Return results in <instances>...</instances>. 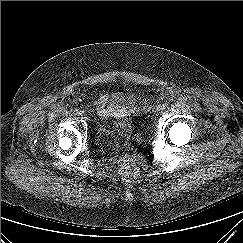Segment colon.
<instances>
[{"instance_id": "1", "label": "colon", "mask_w": 243, "mask_h": 243, "mask_svg": "<svg viewBox=\"0 0 243 243\" xmlns=\"http://www.w3.org/2000/svg\"><path fill=\"white\" fill-rule=\"evenodd\" d=\"M119 175L124 181H133L140 176V168L132 158H124L119 165Z\"/></svg>"}]
</instances>
